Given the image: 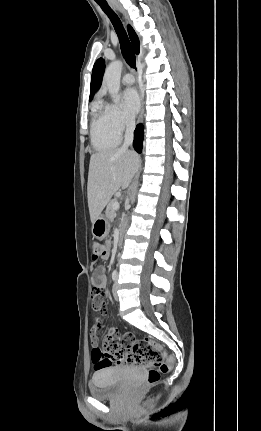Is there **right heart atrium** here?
<instances>
[{"mask_svg":"<svg viewBox=\"0 0 261 431\" xmlns=\"http://www.w3.org/2000/svg\"><path fill=\"white\" fill-rule=\"evenodd\" d=\"M104 110L111 129L117 134L121 135L133 126V120L118 105L108 104Z\"/></svg>","mask_w":261,"mask_h":431,"instance_id":"d8ad5b80","label":"right heart atrium"}]
</instances>
